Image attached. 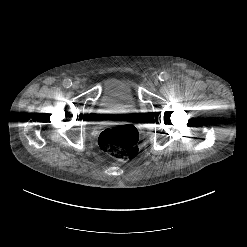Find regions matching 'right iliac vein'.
I'll use <instances>...</instances> for the list:
<instances>
[{"mask_svg":"<svg viewBox=\"0 0 247 247\" xmlns=\"http://www.w3.org/2000/svg\"><path fill=\"white\" fill-rule=\"evenodd\" d=\"M74 89H78L80 87L79 82L75 81L72 86Z\"/></svg>","mask_w":247,"mask_h":247,"instance_id":"obj_1","label":"right iliac vein"}]
</instances>
